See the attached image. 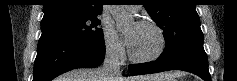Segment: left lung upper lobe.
Masks as SVG:
<instances>
[{"label": "left lung upper lobe", "instance_id": "5c2ea615", "mask_svg": "<svg viewBox=\"0 0 237 81\" xmlns=\"http://www.w3.org/2000/svg\"><path fill=\"white\" fill-rule=\"evenodd\" d=\"M144 7L164 31L163 56L171 57L183 47L203 41L195 0H147Z\"/></svg>", "mask_w": 237, "mask_h": 81}]
</instances>
